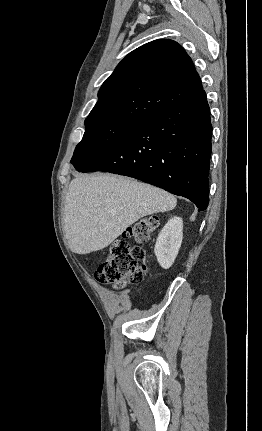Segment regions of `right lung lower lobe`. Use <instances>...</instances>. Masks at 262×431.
I'll list each match as a JSON object with an SVG mask.
<instances>
[{"label": "right lung lower lobe", "mask_w": 262, "mask_h": 431, "mask_svg": "<svg viewBox=\"0 0 262 431\" xmlns=\"http://www.w3.org/2000/svg\"><path fill=\"white\" fill-rule=\"evenodd\" d=\"M212 125L205 91L138 122L82 172L125 175L190 199L209 202Z\"/></svg>", "instance_id": "98d812e1"}]
</instances>
